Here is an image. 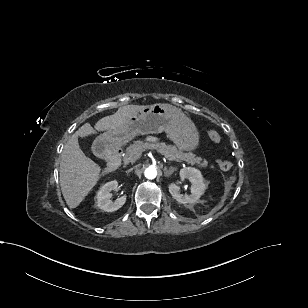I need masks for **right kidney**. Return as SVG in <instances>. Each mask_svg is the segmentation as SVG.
<instances>
[{"label": "right kidney", "instance_id": "obj_1", "mask_svg": "<svg viewBox=\"0 0 308 308\" xmlns=\"http://www.w3.org/2000/svg\"><path fill=\"white\" fill-rule=\"evenodd\" d=\"M118 187V182L116 180L107 182L104 184L96 195L97 206L106 212H114L121 208L126 202V195L117 198L115 201L111 200L110 192L116 190Z\"/></svg>", "mask_w": 308, "mask_h": 308}]
</instances>
